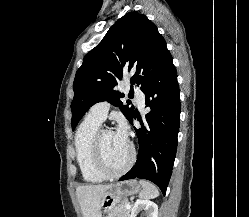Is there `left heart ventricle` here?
<instances>
[{"mask_svg": "<svg viewBox=\"0 0 249 217\" xmlns=\"http://www.w3.org/2000/svg\"><path fill=\"white\" fill-rule=\"evenodd\" d=\"M105 160L112 170L122 168L129 158L128 142L122 141L115 132H105L102 137Z\"/></svg>", "mask_w": 249, "mask_h": 217, "instance_id": "obj_1", "label": "left heart ventricle"}]
</instances>
